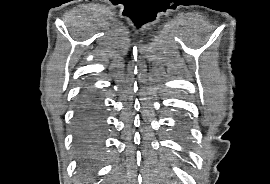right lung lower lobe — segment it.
Masks as SVG:
<instances>
[{
    "mask_svg": "<svg viewBox=\"0 0 270 184\" xmlns=\"http://www.w3.org/2000/svg\"><path fill=\"white\" fill-rule=\"evenodd\" d=\"M101 121L98 104L92 97L82 100L76 116V140L85 155H95L99 150Z\"/></svg>",
    "mask_w": 270,
    "mask_h": 184,
    "instance_id": "right-lung-lower-lobe-1",
    "label": "right lung lower lobe"
}]
</instances>
